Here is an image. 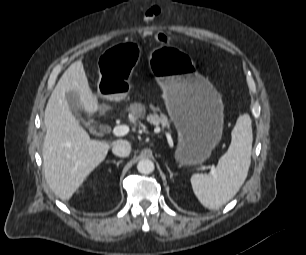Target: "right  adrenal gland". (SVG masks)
I'll return each instance as SVG.
<instances>
[{
	"instance_id": "obj_1",
	"label": "right adrenal gland",
	"mask_w": 306,
	"mask_h": 255,
	"mask_svg": "<svg viewBox=\"0 0 306 255\" xmlns=\"http://www.w3.org/2000/svg\"><path fill=\"white\" fill-rule=\"evenodd\" d=\"M111 163L116 164V166L119 167L120 163H122V160H119L117 162L115 160H112Z\"/></svg>"
}]
</instances>
